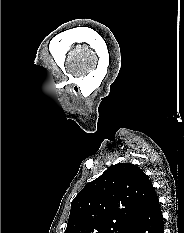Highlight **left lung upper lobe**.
Segmentation results:
<instances>
[{"label":"left lung upper lobe","mask_w":184,"mask_h":233,"mask_svg":"<svg viewBox=\"0 0 184 233\" xmlns=\"http://www.w3.org/2000/svg\"><path fill=\"white\" fill-rule=\"evenodd\" d=\"M153 192L136 165H112L74 198L64 233H130Z\"/></svg>","instance_id":"obj_1"}]
</instances>
